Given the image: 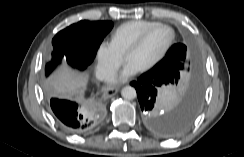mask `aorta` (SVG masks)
I'll list each match as a JSON object with an SVG mask.
<instances>
[{"instance_id": "aorta-1", "label": "aorta", "mask_w": 244, "mask_h": 157, "mask_svg": "<svg viewBox=\"0 0 244 157\" xmlns=\"http://www.w3.org/2000/svg\"><path fill=\"white\" fill-rule=\"evenodd\" d=\"M121 95L123 98L128 100H132L137 96L136 90L132 86H125L124 88H122Z\"/></svg>"}]
</instances>
